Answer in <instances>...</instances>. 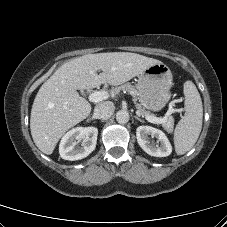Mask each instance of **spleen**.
<instances>
[{
    "label": "spleen",
    "instance_id": "3e777b00",
    "mask_svg": "<svg viewBox=\"0 0 227 227\" xmlns=\"http://www.w3.org/2000/svg\"><path fill=\"white\" fill-rule=\"evenodd\" d=\"M185 115L176 125L174 146L177 155L188 152L198 140L202 129L203 106L200 94L192 81L183 85Z\"/></svg>",
    "mask_w": 227,
    "mask_h": 227
}]
</instances>
